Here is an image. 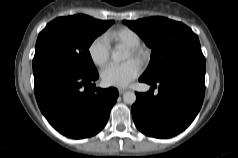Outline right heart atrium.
I'll return each mask as SVG.
<instances>
[{
    "mask_svg": "<svg viewBox=\"0 0 238 158\" xmlns=\"http://www.w3.org/2000/svg\"><path fill=\"white\" fill-rule=\"evenodd\" d=\"M87 51L91 61L96 66H104L110 56V45L107 38L102 35L94 38L88 45Z\"/></svg>",
    "mask_w": 238,
    "mask_h": 158,
    "instance_id": "obj_1",
    "label": "right heart atrium"
}]
</instances>
